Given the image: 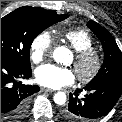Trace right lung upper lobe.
<instances>
[{
  "instance_id": "obj_1",
  "label": "right lung upper lobe",
  "mask_w": 122,
  "mask_h": 122,
  "mask_svg": "<svg viewBox=\"0 0 122 122\" xmlns=\"http://www.w3.org/2000/svg\"><path fill=\"white\" fill-rule=\"evenodd\" d=\"M32 8L35 9V10H37V11L44 12V13L56 12V11H53V10H45L43 8H40V7H32Z\"/></svg>"
}]
</instances>
